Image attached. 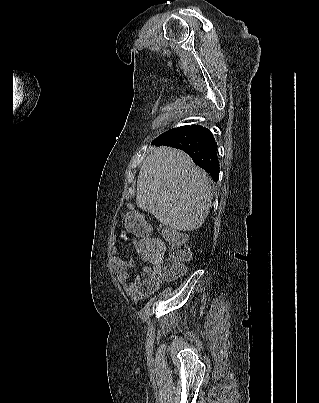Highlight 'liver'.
<instances>
[{"label": "liver", "instance_id": "liver-1", "mask_svg": "<svg viewBox=\"0 0 319 403\" xmlns=\"http://www.w3.org/2000/svg\"><path fill=\"white\" fill-rule=\"evenodd\" d=\"M213 199L211 180L183 151L152 147L137 179L136 204L163 225L176 230L198 229Z\"/></svg>", "mask_w": 319, "mask_h": 403}]
</instances>
